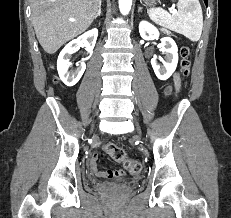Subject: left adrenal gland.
Returning <instances> with one entry per match:
<instances>
[{
  "label": "left adrenal gland",
  "mask_w": 231,
  "mask_h": 218,
  "mask_svg": "<svg viewBox=\"0 0 231 218\" xmlns=\"http://www.w3.org/2000/svg\"><path fill=\"white\" fill-rule=\"evenodd\" d=\"M142 11V7H139V10H138V12H141Z\"/></svg>",
  "instance_id": "left-adrenal-gland-1"
}]
</instances>
